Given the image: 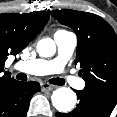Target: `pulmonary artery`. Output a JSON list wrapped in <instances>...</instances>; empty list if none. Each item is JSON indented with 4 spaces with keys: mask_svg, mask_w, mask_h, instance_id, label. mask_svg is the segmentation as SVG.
<instances>
[{
    "mask_svg": "<svg viewBox=\"0 0 117 117\" xmlns=\"http://www.w3.org/2000/svg\"><path fill=\"white\" fill-rule=\"evenodd\" d=\"M54 41L57 47V57L51 60L35 59L23 61L16 64V68L31 75L59 74L63 71L66 62L72 56L77 45V36L70 31H57L54 34ZM63 79L76 89H83L85 82L80 78L70 75L63 76Z\"/></svg>",
    "mask_w": 117,
    "mask_h": 117,
    "instance_id": "e3ab8cb5",
    "label": "pulmonary artery"
}]
</instances>
